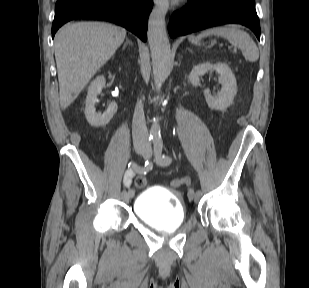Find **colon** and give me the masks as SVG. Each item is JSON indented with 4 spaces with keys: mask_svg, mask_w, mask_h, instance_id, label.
<instances>
[{
    "mask_svg": "<svg viewBox=\"0 0 309 288\" xmlns=\"http://www.w3.org/2000/svg\"><path fill=\"white\" fill-rule=\"evenodd\" d=\"M146 184V179L144 177H137L135 180V185L139 188L143 187ZM192 181L188 177L176 178L171 181V185L174 187L179 186H188L190 187Z\"/></svg>",
    "mask_w": 309,
    "mask_h": 288,
    "instance_id": "colon-1",
    "label": "colon"
}]
</instances>
